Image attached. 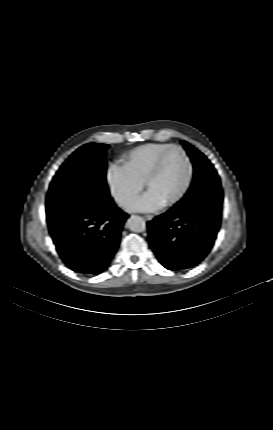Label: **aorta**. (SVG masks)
I'll list each match as a JSON object with an SVG mask.
<instances>
[{
	"label": "aorta",
	"instance_id": "762f6f07",
	"mask_svg": "<svg viewBox=\"0 0 273 430\" xmlns=\"http://www.w3.org/2000/svg\"><path fill=\"white\" fill-rule=\"evenodd\" d=\"M127 228L133 232H143L146 229V223L140 216L132 215L127 220Z\"/></svg>",
	"mask_w": 273,
	"mask_h": 430
}]
</instances>
